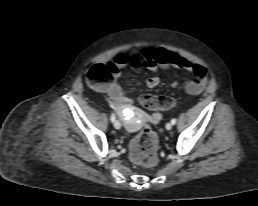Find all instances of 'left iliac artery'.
Segmentation results:
<instances>
[{
	"label": "left iliac artery",
	"mask_w": 258,
	"mask_h": 206,
	"mask_svg": "<svg viewBox=\"0 0 258 206\" xmlns=\"http://www.w3.org/2000/svg\"><path fill=\"white\" fill-rule=\"evenodd\" d=\"M176 122H177V120L175 119V118H173L172 120H171V123L174 125V124H176Z\"/></svg>",
	"instance_id": "obj_1"
}]
</instances>
